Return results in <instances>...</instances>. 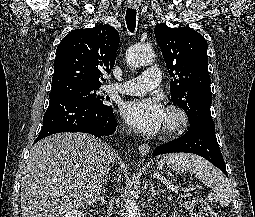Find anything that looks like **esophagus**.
Listing matches in <instances>:
<instances>
[{
    "label": "esophagus",
    "instance_id": "obj_1",
    "mask_svg": "<svg viewBox=\"0 0 255 217\" xmlns=\"http://www.w3.org/2000/svg\"><path fill=\"white\" fill-rule=\"evenodd\" d=\"M129 7L132 8V9H137L138 8V3L135 2V1H129ZM149 150H150V146L146 143H143L139 146V153L142 155V156H145L149 153Z\"/></svg>",
    "mask_w": 255,
    "mask_h": 217
}]
</instances>
